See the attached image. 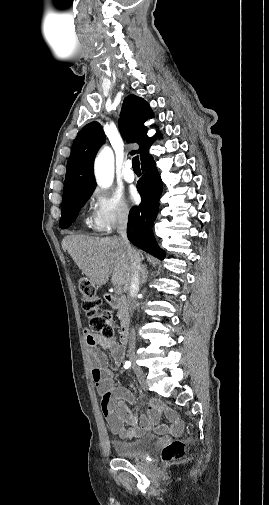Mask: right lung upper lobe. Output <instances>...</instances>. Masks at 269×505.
Wrapping results in <instances>:
<instances>
[{
  "instance_id": "right-lung-upper-lobe-1",
  "label": "right lung upper lobe",
  "mask_w": 269,
  "mask_h": 505,
  "mask_svg": "<svg viewBox=\"0 0 269 505\" xmlns=\"http://www.w3.org/2000/svg\"><path fill=\"white\" fill-rule=\"evenodd\" d=\"M153 117L148 103L135 95L126 97L121 109L119 128L128 142L139 144L137 151L141 163L147 159L153 138L147 136L144 122ZM105 142V135L98 122H91L83 127L76 137L67 163L64 181L63 201L81 192L95 189L93 162L100 146Z\"/></svg>"
}]
</instances>
